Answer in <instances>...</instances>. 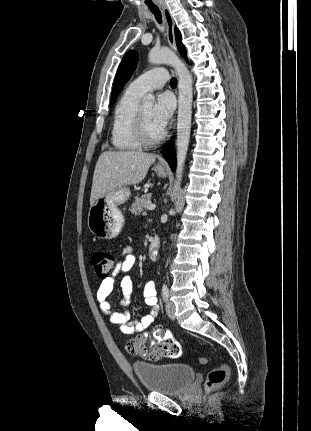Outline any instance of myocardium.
<instances>
[{
    "label": "myocardium",
    "instance_id": "obj_1",
    "mask_svg": "<svg viewBox=\"0 0 311 431\" xmlns=\"http://www.w3.org/2000/svg\"><path fill=\"white\" fill-rule=\"evenodd\" d=\"M134 132L136 139L144 146H152L158 144L165 137V132L157 138L149 137L145 118L141 108H138L134 120Z\"/></svg>",
    "mask_w": 311,
    "mask_h": 431
}]
</instances>
